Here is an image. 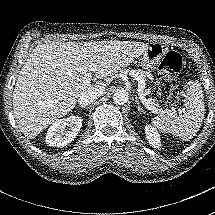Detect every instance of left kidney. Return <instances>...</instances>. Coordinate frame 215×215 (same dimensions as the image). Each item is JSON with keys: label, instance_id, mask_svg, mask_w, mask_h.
Returning <instances> with one entry per match:
<instances>
[{"label": "left kidney", "instance_id": "obj_1", "mask_svg": "<svg viewBox=\"0 0 215 215\" xmlns=\"http://www.w3.org/2000/svg\"><path fill=\"white\" fill-rule=\"evenodd\" d=\"M145 134L151 147L157 149L161 147V138L155 127H153L152 125H146Z\"/></svg>", "mask_w": 215, "mask_h": 215}]
</instances>
